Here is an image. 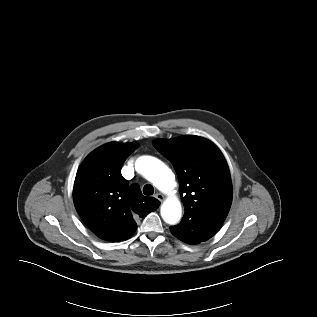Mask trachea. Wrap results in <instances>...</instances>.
Here are the masks:
<instances>
[{
    "instance_id": "trachea-1",
    "label": "trachea",
    "mask_w": 317,
    "mask_h": 317,
    "mask_svg": "<svg viewBox=\"0 0 317 317\" xmlns=\"http://www.w3.org/2000/svg\"><path fill=\"white\" fill-rule=\"evenodd\" d=\"M143 193L145 194V195H152L153 193H154V188H153V186L152 185H150V184H146L145 186H144V188H143Z\"/></svg>"
}]
</instances>
